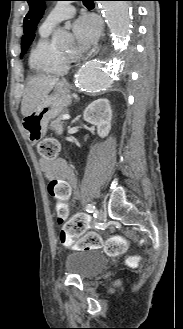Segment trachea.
<instances>
[{
	"instance_id": "1",
	"label": "trachea",
	"mask_w": 183,
	"mask_h": 329,
	"mask_svg": "<svg viewBox=\"0 0 183 329\" xmlns=\"http://www.w3.org/2000/svg\"><path fill=\"white\" fill-rule=\"evenodd\" d=\"M81 1H83L84 5L86 6L92 4V0H81Z\"/></svg>"
}]
</instances>
